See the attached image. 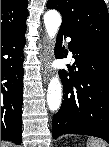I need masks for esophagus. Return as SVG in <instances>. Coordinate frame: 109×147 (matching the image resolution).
I'll return each mask as SVG.
<instances>
[{
    "label": "esophagus",
    "instance_id": "esophagus-1",
    "mask_svg": "<svg viewBox=\"0 0 109 147\" xmlns=\"http://www.w3.org/2000/svg\"><path fill=\"white\" fill-rule=\"evenodd\" d=\"M43 54H42V63H43V81L47 83L51 76V71L47 66L48 61L51 58V45L48 37L46 35L43 36Z\"/></svg>",
    "mask_w": 109,
    "mask_h": 147
}]
</instances>
